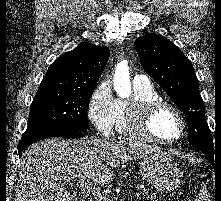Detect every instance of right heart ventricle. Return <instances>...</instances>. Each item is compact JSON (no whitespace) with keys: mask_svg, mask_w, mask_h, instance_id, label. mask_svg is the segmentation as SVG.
<instances>
[{"mask_svg":"<svg viewBox=\"0 0 221 201\" xmlns=\"http://www.w3.org/2000/svg\"><path fill=\"white\" fill-rule=\"evenodd\" d=\"M161 99L157 90L149 83L145 85L134 84V95L129 101L117 100L116 129L127 135H133L127 126V110L131 103L144 102L148 100Z\"/></svg>","mask_w":221,"mask_h":201,"instance_id":"right-heart-ventricle-1","label":"right heart ventricle"}]
</instances>
